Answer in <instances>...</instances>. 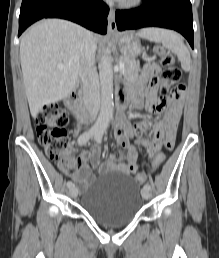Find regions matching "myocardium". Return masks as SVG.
<instances>
[{
  "mask_svg": "<svg viewBox=\"0 0 219 258\" xmlns=\"http://www.w3.org/2000/svg\"><path fill=\"white\" fill-rule=\"evenodd\" d=\"M143 0H121V6L124 8H134L139 6Z\"/></svg>",
  "mask_w": 219,
  "mask_h": 258,
  "instance_id": "f54148a6",
  "label": "myocardium"
}]
</instances>
